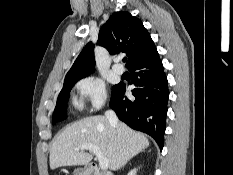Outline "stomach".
<instances>
[{"label": "stomach", "mask_w": 233, "mask_h": 175, "mask_svg": "<svg viewBox=\"0 0 233 175\" xmlns=\"http://www.w3.org/2000/svg\"><path fill=\"white\" fill-rule=\"evenodd\" d=\"M74 175H88V172L85 169H77L74 171Z\"/></svg>", "instance_id": "0dacf381"}]
</instances>
